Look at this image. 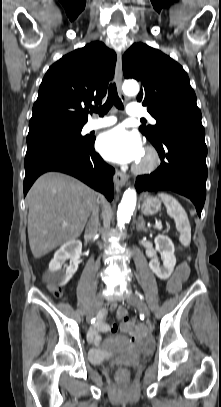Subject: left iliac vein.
<instances>
[{"mask_svg":"<svg viewBox=\"0 0 221 407\" xmlns=\"http://www.w3.org/2000/svg\"><path fill=\"white\" fill-rule=\"evenodd\" d=\"M126 301L128 304L136 307L140 312H142L146 316L147 319H149L151 317V313H150L148 306L146 305L145 302H143L138 297H136L134 295H129L126 298Z\"/></svg>","mask_w":221,"mask_h":407,"instance_id":"1","label":"left iliac vein"}]
</instances>
